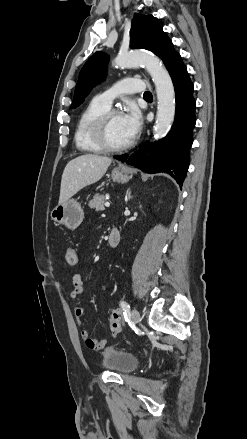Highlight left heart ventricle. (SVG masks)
Returning a JSON list of instances; mask_svg holds the SVG:
<instances>
[{
  "label": "left heart ventricle",
  "instance_id": "1",
  "mask_svg": "<svg viewBox=\"0 0 247 439\" xmlns=\"http://www.w3.org/2000/svg\"><path fill=\"white\" fill-rule=\"evenodd\" d=\"M108 140L114 146H119L130 141L123 126L121 115L111 117L108 125Z\"/></svg>",
  "mask_w": 247,
  "mask_h": 439
}]
</instances>
